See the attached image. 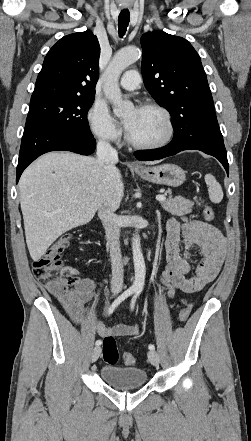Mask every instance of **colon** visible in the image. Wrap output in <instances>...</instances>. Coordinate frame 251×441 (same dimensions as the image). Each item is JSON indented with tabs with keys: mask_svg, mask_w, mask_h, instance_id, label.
<instances>
[{
	"mask_svg": "<svg viewBox=\"0 0 251 441\" xmlns=\"http://www.w3.org/2000/svg\"><path fill=\"white\" fill-rule=\"evenodd\" d=\"M204 216L207 220H213L215 217L214 210L207 205L203 209ZM71 241L70 234L60 236L46 251V253L33 262V274L41 285L50 286L55 290H65L75 286L80 278L76 271L65 266L61 260V254L69 246ZM191 313V307L187 306L179 313V320L186 322ZM103 359L109 365L118 362L119 353L117 344L113 336H107L103 339ZM126 365H133L135 358L133 355L126 353L123 357Z\"/></svg>",
	"mask_w": 251,
	"mask_h": 441,
	"instance_id": "obj_1",
	"label": "colon"
}]
</instances>
